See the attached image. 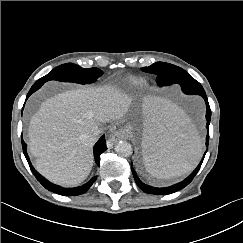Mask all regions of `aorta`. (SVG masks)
Wrapping results in <instances>:
<instances>
[{
    "instance_id": "aorta-1",
    "label": "aorta",
    "mask_w": 243,
    "mask_h": 243,
    "mask_svg": "<svg viewBox=\"0 0 243 243\" xmlns=\"http://www.w3.org/2000/svg\"><path fill=\"white\" fill-rule=\"evenodd\" d=\"M115 151L124 157H128L132 154V145L127 141H119L115 145Z\"/></svg>"
}]
</instances>
